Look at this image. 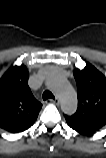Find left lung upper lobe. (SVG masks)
Here are the masks:
<instances>
[{
	"label": "left lung upper lobe",
	"mask_w": 106,
	"mask_h": 158,
	"mask_svg": "<svg viewBox=\"0 0 106 158\" xmlns=\"http://www.w3.org/2000/svg\"><path fill=\"white\" fill-rule=\"evenodd\" d=\"M78 108L65 116L67 124L83 135H90L106 126V77L90 63L75 69Z\"/></svg>",
	"instance_id": "left-lung-upper-lobe-1"
}]
</instances>
